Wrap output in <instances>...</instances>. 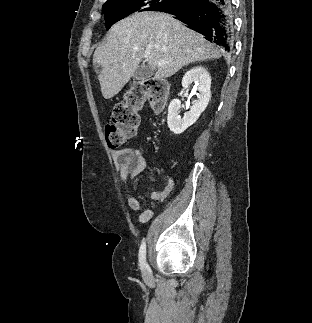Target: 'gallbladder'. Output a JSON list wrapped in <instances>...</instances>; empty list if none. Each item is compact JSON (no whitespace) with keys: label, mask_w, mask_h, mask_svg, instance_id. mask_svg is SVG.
Returning <instances> with one entry per match:
<instances>
[{"label":"gallbladder","mask_w":312,"mask_h":323,"mask_svg":"<svg viewBox=\"0 0 312 323\" xmlns=\"http://www.w3.org/2000/svg\"><path fill=\"white\" fill-rule=\"evenodd\" d=\"M152 74L153 72L150 70L149 66H139V68L134 70L133 78H135V80H141V78L146 80V78H151Z\"/></svg>","instance_id":"1"}]
</instances>
